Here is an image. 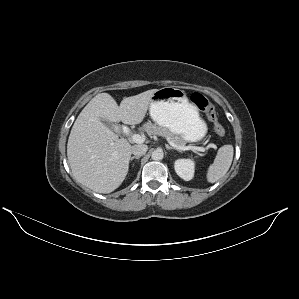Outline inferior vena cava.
Listing matches in <instances>:
<instances>
[{"mask_svg": "<svg viewBox=\"0 0 299 299\" xmlns=\"http://www.w3.org/2000/svg\"><path fill=\"white\" fill-rule=\"evenodd\" d=\"M147 150H148L147 145L144 144L135 145L132 149V154H134L135 156H142L146 154Z\"/></svg>", "mask_w": 299, "mask_h": 299, "instance_id": "602c4592", "label": "inferior vena cava"}]
</instances>
